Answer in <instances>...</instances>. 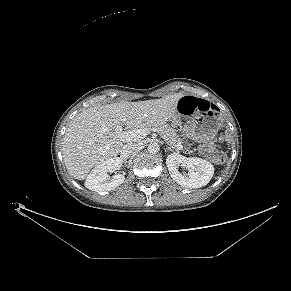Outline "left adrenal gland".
<instances>
[{"mask_svg":"<svg viewBox=\"0 0 291 291\" xmlns=\"http://www.w3.org/2000/svg\"><path fill=\"white\" fill-rule=\"evenodd\" d=\"M165 150L173 152V149L170 147H166Z\"/></svg>","mask_w":291,"mask_h":291,"instance_id":"obj_1","label":"left adrenal gland"}]
</instances>
